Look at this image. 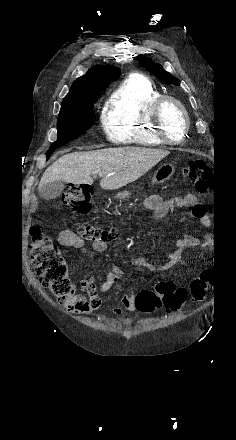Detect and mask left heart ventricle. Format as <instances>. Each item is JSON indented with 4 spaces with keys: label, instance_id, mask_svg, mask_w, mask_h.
<instances>
[{
    "label": "left heart ventricle",
    "instance_id": "b2bd125f",
    "mask_svg": "<svg viewBox=\"0 0 236 440\" xmlns=\"http://www.w3.org/2000/svg\"><path fill=\"white\" fill-rule=\"evenodd\" d=\"M163 122L166 131L172 138H181L184 129V121L183 116L177 106L169 103L164 107Z\"/></svg>",
    "mask_w": 236,
    "mask_h": 440
}]
</instances>
